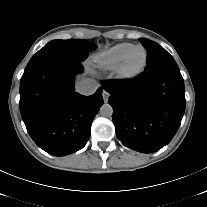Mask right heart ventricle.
Listing matches in <instances>:
<instances>
[{
    "label": "right heart ventricle",
    "instance_id": "obj_1",
    "mask_svg": "<svg viewBox=\"0 0 207 207\" xmlns=\"http://www.w3.org/2000/svg\"><path fill=\"white\" fill-rule=\"evenodd\" d=\"M132 43H120L100 52L94 59L96 66L101 70H114L133 46Z\"/></svg>",
    "mask_w": 207,
    "mask_h": 207
}]
</instances>
